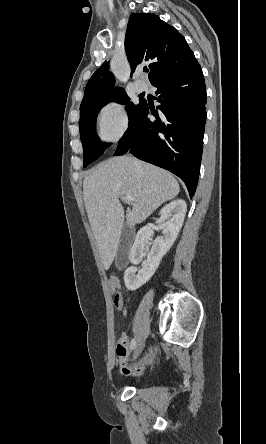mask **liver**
<instances>
[{
	"mask_svg": "<svg viewBox=\"0 0 266 444\" xmlns=\"http://www.w3.org/2000/svg\"><path fill=\"white\" fill-rule=\"evenodd\" d=\"M179 191L169 172L127 156L101 163L85 178V208L105 270L117 254L125 218V224L132 228ZM127 195L134 201L125 216L119 198Z\"/></svg>",
	"mask_w": 266,
	"mask_h": 444,
	"instance_id": "liver-1",
	"label": "liver"
}]
</instances>
